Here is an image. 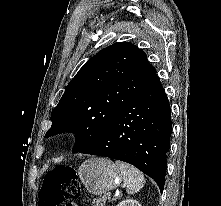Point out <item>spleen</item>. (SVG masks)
<instances>
[{
    "instance_id": "1",
    "label": "spleen",
    "mask_w": 221,
    "mask_h": 206,
    "mask_svg": "<svg viewBox=\"0 0 221 206\" xmlns=\"http://www.w3.org/2000/svg\"><path fill=\"white\" fill-rule=\"evenodd\" d=\"M116 166L120 169L123 175L127 193L135 194L139 192L145 183L143 174L138 169L127 163L116 161Z\"/></svg>"
}]
</instances>
